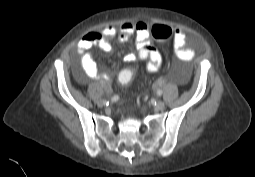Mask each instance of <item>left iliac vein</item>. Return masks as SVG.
Returning a JSON list of instances; mask_svg holds the SVG:
<instances>
[{"label": "left iliac vein", "instance_id": "1", "mask_svg": "<svg viewBox=\"0 0 255 177\" xmlns=\"http://www.w3.org/2000/svg\"><path fill=\"white\" fill-rule=\"evenodd\" d=\"M165 107V103L161 100L157 101V103L155 104V109L156 110H163Z\"/></svg>", "mask_w": 255, "mask_h": 177}]
</instances>
